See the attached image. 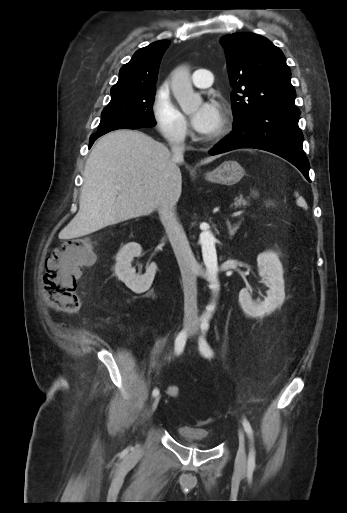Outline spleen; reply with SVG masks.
<instances>
[{"label": "spleen", "mask_w": 347, "mask_h": 513, "mask_svg": "<svg viewBox=\"0 0 347 513\" xmlns=\"http://www.w3.org/2000/svg\"><path fill=\"white\" fill-rule=\"evenodd\" d=\"M295 196L297 197V200H296L297 205L304 209H307V204H306L305 200L302 197H300L297 192L295 193Z\"/></svg>", "instance_id": "1"}]
</instances>
